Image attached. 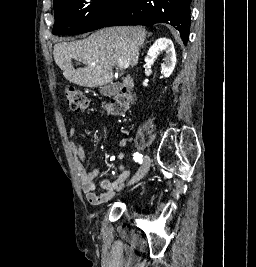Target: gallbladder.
<instances>
[{
    "label": "gallbladder",
    "instance_id": "obj_1",
    "mask_svg": "<svg viewBox=\"0 0 256 267\" xmlns=\"http://www.w3.org/2000/svg\"><path fill=\"white\" fill-rule=\"evenodd\" d=\"M120 82H116V84H107V86H101L100 88V94H103V96H115L116 92L120 90Z\"/></svg>",
    "mask_w": 256,
    "mask_h": 267
}]
</instances>
